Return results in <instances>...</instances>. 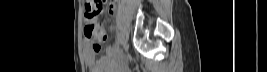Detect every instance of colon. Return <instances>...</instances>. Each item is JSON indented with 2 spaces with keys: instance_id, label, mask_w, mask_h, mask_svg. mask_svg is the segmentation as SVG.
Returning a JSON list of instances; mask_svg holds the SVG:
<instances>
[{
  "instance_id": "colon-1",
  "label": "colon",
  "mask_w": 267,
  "mask_h": 72,
  "mask_svg": "<svg viewBox=\"0 0 267 72\" xmlns=\"http://www.w3.org/2000/svg\"><path fill=\"white\" fill-rule=\"evenodd\" d=\"M103 10V1L88 0L85 3L84 13L88 21L85 27V35L93 40V49L98 52L106 40V33L97 23V19Z\"/></svg>"
}]
</instances>
